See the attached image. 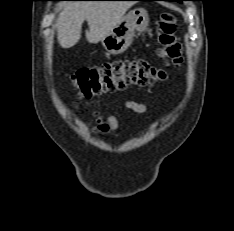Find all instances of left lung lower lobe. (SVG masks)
Returning <instances> with one entry per match:
<instances>
[{
    "instance_id": "0a47b994",
    "label": "left lung lower lobe",
    "mask_w": 234,
    "mask_h": 231,
    "mask_svg": "<svg viewBox=\"0 0 234 231\" xmlns=\"http://www.w3.org/2000/svg\"><path fill=\"white\" fill-rule=\"evenodd\" d=\"M148 1H152V0H148ZM164 1H176V0H164Z\"/></svg>"
}]
</instances>
